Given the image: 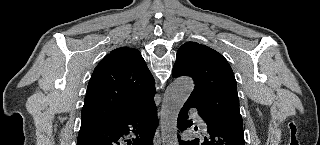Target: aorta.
Wrapping results in <instances>:
<instances>
[{
  "label": "aorta",
  "mask_w": 320,
  "mask_h": 145,
  "mask_svg": "<svg viewBox=\"0 0 320 145\" xmlns=\"http://www.w3.org/2000/svg\"><path fill=\"white\" fill-rule=\"evenodd\" d=\"M194 89V82L189 77L174 80L165 92L160 124L164 145H177V118L179 111Z\"/></svg>",
  "instance_id": "1"
}]
</instances>
